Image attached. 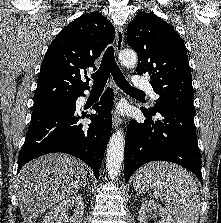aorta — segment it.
<instances>
[{
    "label": "aorta",
    "instance_id": "762f6f07",
    "mask_svg": "<svg viewBox=\"0 0 221 223\" xmlns=\"http://www.w3.org/2000/svg\"><path fill=\"white\" fill-rule=\"evenodd\" d=\"M122 65L131 67L137 64V54L132 50H123L119 54ZM125 136L122 129L112 134L107 146L106 167L109 177L115 179L121 171L124 158Z\"/></svg>",
    "mask_w": 221,
    "mask_h": 223
}]
</instances>
